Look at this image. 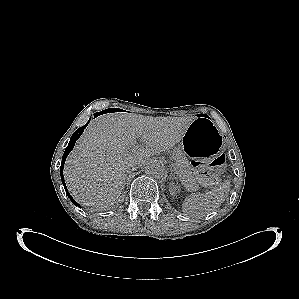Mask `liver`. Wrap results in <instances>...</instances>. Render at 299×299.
Listing matches in <instances>:
<instances>
[{
  "label": "liver",
  "instance_id": "obj_1",
  "mask_svg": "<svg viewBox=\"0 0 299 299\" xmlns=\"http://www.w3.org/2000/svg\"><path fill=\"white\" fill-rule=\"evenodd\" d=\"M195 117H152L110 113L93 120L69 154L64 177L69 192L83 206L105 209L124 189L131 164L180 142ZM144 147L135 146L137 140Z\"/></svg>",
  "mask_w": 299,
  "mask_h": 299
}]
</instances>
